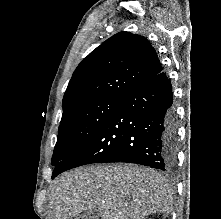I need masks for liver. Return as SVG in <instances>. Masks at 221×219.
<instances>
[{"label": "liver", "mask_w": 221, "mask_h": 219, "mask_svg": "<svg viewBox=\"0 0 221 219\" xmlns=\"http://www.w3.org/2000/svg\"><path fill=\"white\" fill-rule=\"evenodd\" d=\"M54 219H72L98 209L102 219H145L168 215L173 197L161 174L130 164L98 165L62 174L51 191Z\"/></svg>", "instance_id": "6515ba94"}]
</instances>
